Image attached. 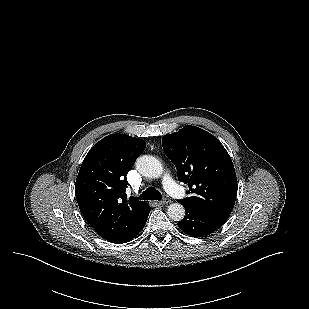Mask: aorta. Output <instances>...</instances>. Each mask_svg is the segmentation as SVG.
Returning <instances> with one entry per match:
<instances>
[{
  "mask_svg": "<svg viewBox=\"0 0 309 309\" xmlns=\"http://www.w3.org/2000/svg\"><path fill=\"white\" fill-rule=\"evenodd\" d=\"M137 170L145 177L159 178L163 173L161 162L153 156L143 155L136 161ZM167 214L174 221H181L185 216V209L180 203H173L168 206Z\"/></svg>",
  "mask_w": 309,
  "mask_h": 309,
  "instance_id": "762f6f07",
  "label": "aorta"
}]
</instances>
